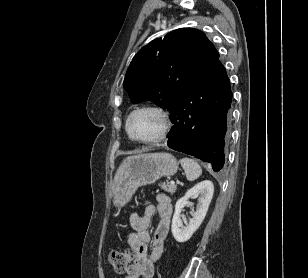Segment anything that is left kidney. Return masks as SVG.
Masks as SVG:
<instances>
[{"instance_id": "left-kidney-1", "label": "left kidney", "mask_w": 308, "mask_h": 278, "mask_svg": "<svg viewBox=\"0 0 308 278\" xmlns=\"http://www.w3.org/2000/svg\"><path fill=\"white\" fill-rule=\"evenodd\" d=\"M213 192V183L209 180H205L188 190L184 197L180 198L176 202L171 231L177 242L184 243L188 241L194 232L200 227L208 211L210 202L213 197ZM194 196H199L198 199L200 203L196 211L192 213L193 218L190 220L189 224L184 226L180 218V214L182 209L189 204L188 200Z\"/></svg>"}]
</instances>
